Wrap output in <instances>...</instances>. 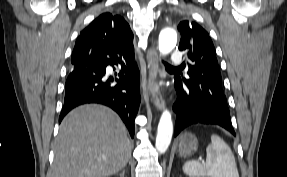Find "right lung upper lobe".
<instances>
[{
    "label": "right lung upper lobe",
    "mask_w": 287,
    "mask_h": 177,
    "mask_svg": "<svg viewBox=\"0 0 287 177\" xmlns=\"http://www.w3.org/2000/svg\"><path fill=\"white\" fill-rule=\"evenodd\" d=\"M116 43L133 47V33L130 26L119 15L103 13L80 33L71 56V63L74 65L86 59L92 47H103Z\"/></svg>",
    "instance_id": "right-lung-upper-lobe-1"
}]
</instances>
